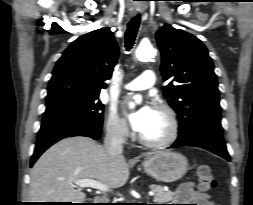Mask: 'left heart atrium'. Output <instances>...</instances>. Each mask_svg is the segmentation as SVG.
Returning a JSON list of instances; mask_svg holds the SVG:
<instances>
[{"label":"left heart atrium","instance_id":"39dd6f15","mask_svg":"<svg viewBox=\"0 0 253 205\" xmlns=\"http://www.w3.org/2000/svg\"><path fill=\"white\" fill-rule=\"evenodd\" d=\"M155 109L149 105L144 104L129 113V121L134 131L141 133L150 122Z\"/></svg>","mask_w":253,"mask_h":205}]
</instances>
